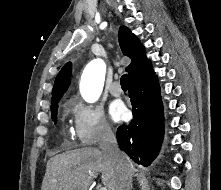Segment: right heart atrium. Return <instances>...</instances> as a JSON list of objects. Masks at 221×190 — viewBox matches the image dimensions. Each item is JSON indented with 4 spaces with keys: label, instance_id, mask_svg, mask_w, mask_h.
I'll use <instances>...</instances> for the list:
<instances>
[{
    "label": "right heart atrium",
    "instance_id": "1",
    "mask_svg": "<svg viewBox=\"0 0 221 190\" xmlns=\"http://www.w3.org/2000/svg\"><path fill=\"white\" fill-rule=\"evenodd\" d=\"M72 111L75 135L81 145H96L112 137V128L100 107L74 101Z\"/></svg>",
    "mask_w": 221,
    "mask_h": 190
}]
</instances>
